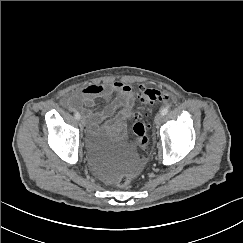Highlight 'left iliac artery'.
Returning <instances> with one entry per match:
<instances>
[{"label": "left iliac artery", "instance_id": "left-iliac-artery-1", "mask_svg": "<svg viewBox=\"0 0 243 243\" xmlns=\"http://www.w3.org/2000/svg\"><path fill=\"white\" fill-rule=\"evenodd\" d=\"M169 111V108L168 107H164L162 110H161V114L164 116L168 113Z\"/></svg>", "mask_w": 243, "mask_h": 243}]
</instances>
